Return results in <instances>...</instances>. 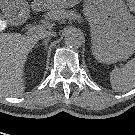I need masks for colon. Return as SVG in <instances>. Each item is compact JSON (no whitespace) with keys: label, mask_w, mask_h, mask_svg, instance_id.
Instances as JSON below:
<instances>
[{"label":"colon","mask_w":135,"mask_h":135,"mask_svg":"<svg viewBox=\"0 0 135 135\" xmlns=\"http://www.w3.org/2000/svg\"><path fill=\"white\" fill-rule=\"evenodd\" d=\"M128 10L135 14V0H126Z\"/></svg>","instance_id":"1"}]
</instances>
